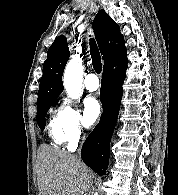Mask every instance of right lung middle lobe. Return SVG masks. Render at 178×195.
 Returning a JSON list of instances; mask_svg holds the SVG:
<instances>
[{
    "label": "right lung middle lobe",
    "mask_w": 178,
    "mask_h": 195,
    "mask_svg": "<svg viewBox=\"0 0 178 195\" xmlns=\"http://www.w3.org/2000/svg\"><path fill=\"white\" fill-rule=\"evenodd\" d=\"M53 102L54 101H48L37 105V124L40 129L45 128V117Z\"/></svg>",
    "instance_id": "right-lung-middle-lobe-1"
}]
</instances>
